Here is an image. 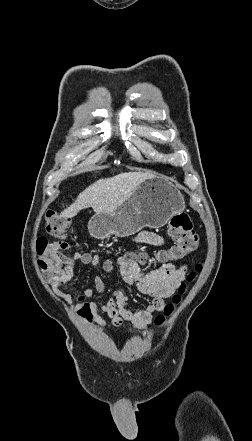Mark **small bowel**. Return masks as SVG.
<instances>
[{
	"mask_svg": "<svg viewBox=\"0 0 252 441\" xmlns=\"http://www.w3.org/2000/svg\"><path fill=\"white\" fill-rule=\"evenodd\" d=\"M135 241L152 246H162L164 244L162 236L150 231H141L135 237ZM70 248L69 243L62 242V249L68 250ZM75 261L95 266L99 263L100 256L88 252H76L71 257L64 256L65 276L59 282H52L58 294L70 304L73 301L76 302L75 311L83 320L91 321L96 318L100 309L110 317L111 323L115 327H121L125 321L130 322L136 328L147 327L152 322L154 314L165 309V300L174 294L188 270L187 264L176 266L167 262L157 269L143 272L136 261L123 257L118 258V273L122 280L129 286L136 287L142 294L150 298L144 309L132 311L126 307L128 296L121 289L113 291L110 298L102 305L94 301H88L94 294L92 288H85L75 298L69 294H64L62 288L73 276V263ZM102 268L107 273L112 272L114 269L113 260L111 258L105 259ZM94 284L97 293L104 292L105 285L99 276L95 277Z\"/></svg>",
	"mask_w": 252,
	"mask_h": 441,
	"instance_id": "c3829d8e",
	"label": "small bowel"
}]
</instances>
